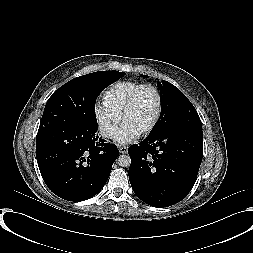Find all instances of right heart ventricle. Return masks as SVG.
Returning a JSON list of instances; mask_svg holds the SVG:
<instances>
[{"mask_svg": "<svg viewBox=\"0 0 253 253\" xmlns=\"http://www.w3.org/2000/svg\"><path fill=\"white\" fill-rule=\"evenodd\" d=\"M146 83L133 80H120L111 84L102 94L103 104L119 115L128 98Z\"/></svg>", "mask_w": 253, "mask_h": 253, "instance_id": "obj_1", "label": "right heart ventricle"}]
</instances>
